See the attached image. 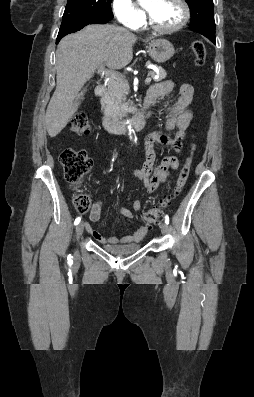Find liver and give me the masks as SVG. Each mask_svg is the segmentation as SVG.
Returning a JSON list of instances; mask_svg holds the SVG:
<instances>
[{"label": "liver", "mask_w": 254, "mask_h": 397, "mask_svg": "<svg viewBox=\"0 0 254 397\" xmlns=\"http://www.w3.org/2000/svg\"><path fill=\"white\" fill-rule=\"evenodd\" d=\"M138 38L115 25H88L65 36L59 43L56 62V89L45 116L46 129L55 137L77 110L82 89L101 64L110 69L128 65Z\"/></svg>", "instance_id": "liver-1"}]
</instances>
